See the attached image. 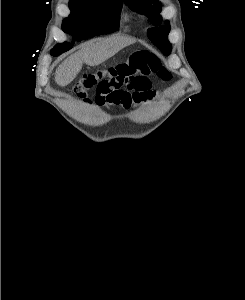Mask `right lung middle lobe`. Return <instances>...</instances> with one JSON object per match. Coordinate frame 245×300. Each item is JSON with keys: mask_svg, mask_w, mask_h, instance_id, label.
Segmentation results:
<instances>
[{"mask_svg": "<svg viewBox=\"0 0 245 300\" xmlns=\"http://www.w3.org/2000/svg\"><path fill=\"white\" fill-rule=\"evenodd\" d=\"M71 14L62 23V29L78 41L86 39V32L78 23L83 20H94L100 24V34L112 33L118 30L122 2L117 0H71ZM72 48L70 43L57 44L51 54L58 56Z\"/></svg>", "mask_w": 245, "mask_h": 300, "instance_id": "right-lung-middle-lobe-1", "label": "right lung middle lobe"}]
</instances>
